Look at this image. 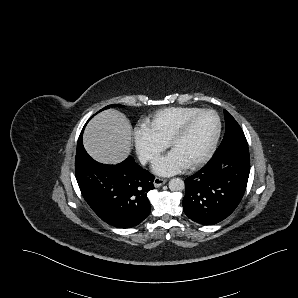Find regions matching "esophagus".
I'll return each mask as SVG.
<instances>
[{"label":"esophagus","instance_id":"esophagus-1","mask_svg":"<svg viewBox=\"0 0 298 298\" xmlns=\"http://www.w3.org/2000/svg\"><path fill=\"white\" fill-rule=\"evenodd\" d=\"M166 182H167V180H165V179H162V178H159V177L154 178V186L156 188L164 185Z\"/></svg>","mask_w":298,"mask_h":298}]
</instances>
